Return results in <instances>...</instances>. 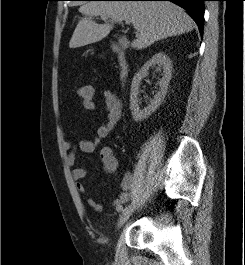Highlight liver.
Returning a JSON list of instances; mask_svg holds the SVG:
<instances>
[{"label": "liver", "instance_id": "6515ba94", "mask_svg": "<svg viewBox=\"0 0 245 265\" xmlns=\"http://www.w3.org/2000/svg\"><path fill=\"white\" fill-rule=\"evenodd\" d=\"M79 12L84 17L74 30L70 48L101 41L110 33L114 23L123 20H129L135 28L136 39L131 47L138 50L156 41L192 31L195 26L184 9L168 1H91L83 4ZM94 16H101L103 20L109 18L110 23L98 25L93 21Z\"/></svg>", "mask_w": 245, "mask_h": 265}]
</instances>
